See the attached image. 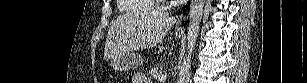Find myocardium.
Masks as SVG:
<instances>
[{"instance_id":"myocardium-1","label":"myocardium","mask_w":307,"mask_h":83,"mask_svg":"<svg viewBox=\"0 0 307 83\" xmlns=\"http://www.w3.org/2000/svg\"><path fill=\"white\" fill-rule=\"evenodd\" d=\"M155 6L159 9L161 13H166L174 7L172 2L162 0L155 1Z\"/></svg>"}]
</instances>
